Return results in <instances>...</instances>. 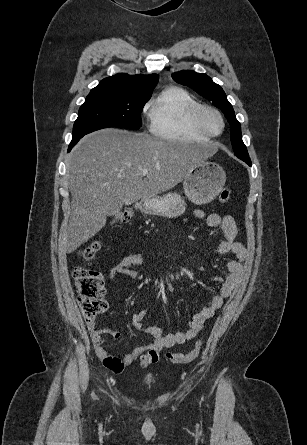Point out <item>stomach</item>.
<instances>
[{
    "label": "stomach",
    "mask_w": 307,
    "mask_h": 445,
    "mask_svg": "<svg viewBox=\"0 0 307 445\" xmlns=\"http://www.w3.org/2000/svg\"><path fill=\"white\" fill-rule=\"evenodd\" d=\"M226 174L217 162H199L183 180L184 192L194 204H207L221 192ZM140 208L144 214L176 218L186 210V202L178 192L142 198Z\"/></svg>",
    "instance_id": "1"
}]
</instances>
